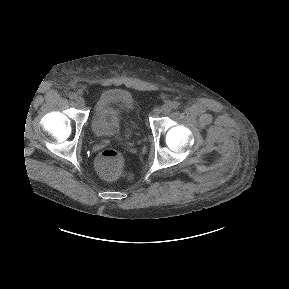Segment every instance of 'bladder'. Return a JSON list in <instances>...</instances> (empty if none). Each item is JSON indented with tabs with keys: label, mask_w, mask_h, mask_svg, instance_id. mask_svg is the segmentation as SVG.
Wrapping results in <instances>:
<instances>
[{
	"label": "bladder",
	"mask_w": 289,
	"mask_h": 289,
	"mask_svg": "<svg viewBox=\"0 0 289 289\" xmlns=\"http://www.w3.org/2000/svg\"><path fill=\"white\" fill-rule=\"evenodd\" d=\"M132 97L122 91L109 90L98 99L93 117L92 129L99 137H112L120 128L124 115L132 111Z\"/></svg>",
	"instance_id": "1"
}]
</instances>
